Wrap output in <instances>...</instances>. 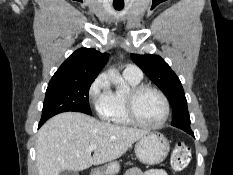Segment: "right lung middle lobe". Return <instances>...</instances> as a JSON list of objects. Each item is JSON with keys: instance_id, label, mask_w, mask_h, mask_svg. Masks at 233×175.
Segmentation results:
<instances>
[{"instance_id": "obj_1", "label": "right lung middle lobe", "mask_w": 233, "mask_h": 175, "mask_svg": "<svg viewBox=\"0 0 233 175\" xmlns=\"http://www.w3.org/2000/svg\"><path fill=\"white\" fill-rule=\"evenodd\" d=\"M94 80L95 78L51 80L46 90L40 122L44 123L50 117L66 111L91 115L88 94Z\"/></svg>"}]
</instances>
